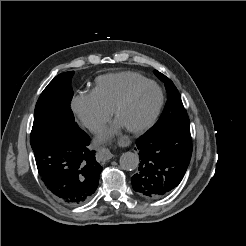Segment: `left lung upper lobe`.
Here are the masks:
<instances>
[{
  "instance_id": "left-lung-upper-lobe-1",
  "label": "left lung upper lobe",
  "mask_w": 246,
  "mask_h": 246,
  "mask_svg": "<svg viewBox=\"0 0 246 246\" xmlns=\"http://www.w3.org/2000/svg\"><path fill=\"white\" fill-rule=\"evenodd\" d=\"M154 74L165 83L168 99L159 120L148 132L152 133L164 129L190 128L189 117L177 88L162 73L155 70Z\"/></svg>"
}]
</instances>
